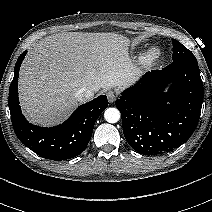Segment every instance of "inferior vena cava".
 Wrapping results in <instances>:
<instances>
[{
	"label": "inferior vena cava",
	"instance_id": "602c4592",
	"mask_svg": "<svg viewBox=\"0 0 212 212\" xmlns=\"http://www.w3.org/2000/svg\"><path fill=\"white\" fill-rule=\"evenodd\" d=\"M94 93L92 89L83 87L76 91L75 97L78 102H87L94 97Z\"/></svg>",
	"mask_w": 212,
	"mask_h": 212
}]
</instances>
